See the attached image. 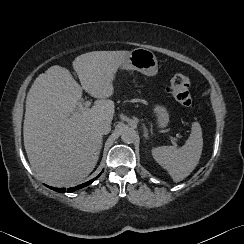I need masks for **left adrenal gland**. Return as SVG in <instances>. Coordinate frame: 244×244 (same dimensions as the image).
Returning <instances> with one entry per match:
<instances>
[{
    "label": "left adrenal gland",
    "instance_id": "a2214340",
    "mask_svg": "<svg viewBox=\"0 0 244 244\" xmlns=\"http://www.w3.org/2000/svg\"><path fill=\"white\" fill-rule=\"evenodd\" d=\"M143 132H144V137L146 139H148L149 138V136H148V130H147V128H146V126L144 124H143Z\"/></svg>",
    "mask_w": 244,
    "mask_h": 244
}]
</instances>
